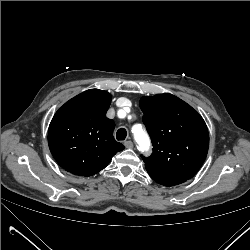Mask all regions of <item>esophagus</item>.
<instances>
[{
    "label": "esophagus",
    "mask_w": 250,
    "mask_h": 250,
    "mask_svg": "<svg viewBox=\"0 0 250 250\" xmlns=\"http://www.w3.org/2000/svg\"><path fill=\"white\" fill-rule=\"evenodd\" d=\"M124 145H125V147L128 148V149L133 148V142L130 141V140L125 141V142H124Z\"/></svg>",
    "instance_id": "34e87169"
}]
</instances>
